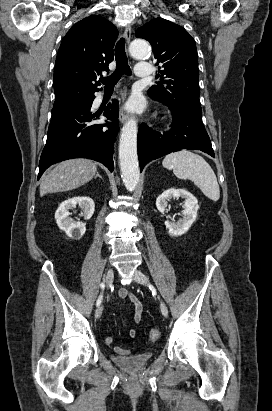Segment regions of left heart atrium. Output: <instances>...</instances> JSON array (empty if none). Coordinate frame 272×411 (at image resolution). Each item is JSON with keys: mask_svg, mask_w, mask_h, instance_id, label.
Returning a JSON list of instances; mask_svg holds the SVG:
<instances>
[{"mask_svg": "<svg viewBox=\"0 0 272 411\" xmlns=\"http://www.w3.org/2000/svg\"><path fill=\"white\" fill-rule=\"evenodd\" d=\"M127 106L131 111H140L143 107L142 100L140 97L134 96L129 100Z\"/></svg>", "mask_w": 272, "mask_h": 411, "instance_id": "1", "label": "left heart atrium"}]
</instances>
